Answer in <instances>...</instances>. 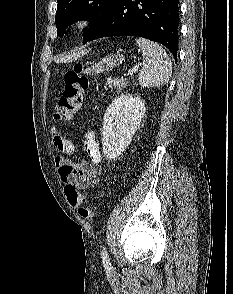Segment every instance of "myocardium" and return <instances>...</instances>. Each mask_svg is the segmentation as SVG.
Listing matches in <instances>:
<instances>
[{
  "instance_id": "obj_1",
  "label": "myocardium",
  "mask_w": 233,
  "mask_h": 294,
  "mask_svg": "<svg viewBox=\"0 0 233 294\" xmlns=\"http://www.w3.org/2000/svg\"><path fill=\"white\" fill-rule=\"evenodd\" d=\"M90 17L86 14L78 15L72 22V28L75 31H82L90 24Z\"/></svg>"
}]
</instances>
